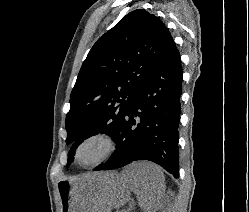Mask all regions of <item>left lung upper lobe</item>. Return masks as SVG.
Masks as SVG:
<instances>
[{
    "label": "left lung upper lobe",
    "instance_id": "obj_1",
    "mask_svg": "<svg viewBox=\"0 0 249 212\" xmlns=\"http://www.w3.org/2000/svg\"><path fill=\"white\" fill-rule=\"evenodd\" d=\"M172 43L166 26L146 10L130 12L99 38L70 95L68 164L86 138L105 133L116 140L132 99Z\"/></svg>",
    "mask_w": 249,
    "mask_h": 212
}]
</instances>
